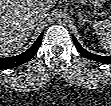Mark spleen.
I'll use <instances>...</instances> for the list:
<instances>
[{
	"instance_id": "spleen-1",
	"label": "spleen",
	"mask_w": 111,
	"mask_h": 106,
	"mask_svg": "<svg viewBox=\"0 0 111 106\" xmlns=\"http://www.w3.org/2000/svg\"><path fill=\"white\" fill-rule=\"evenodd\" d=\"M93 29L100 38L104 49L111 54V21H97L93 24Z\"/></svg>"
}]
</instances>
